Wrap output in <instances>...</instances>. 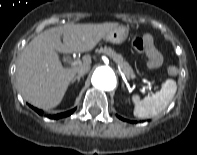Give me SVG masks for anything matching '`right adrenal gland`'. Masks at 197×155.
I'll return each instance as SVG.
<instances>
[{
  "instance_id": "2a0ac1e0",
  "label": "right adrenal gland",
  "mask_w": 197,
  "mask_h": 155,
  "mask_svg": "<svg viewBox=\"0 0 197 155\" xmlns=\"http://www.w3.org/2000/svg\"><path fill=\"white\" fill-rule=\"evenodd\" d=\"M81 77H83V75H78V76H76V77L71 81V83H74L76 80H77V82L79 83Z\"/></svg>"
}]
</instances>
